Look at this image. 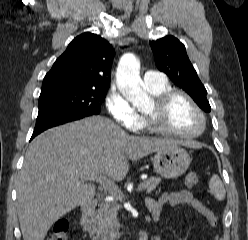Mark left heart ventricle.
I'll list each match as a JSON object with an SVG mask.
<instances>
[{
	"instance_id": "obj_1",
	"label": "left heart ventricle",
	"mask_w": 248,
	"mask_h": 240,
	"mask_svg": "<svg viewBox=\"0 0 248 240\" xmlns=\"http://www.w3.org/2000/svg\"><path fill=\"white\" fill-rule=\"evenodd\" d=\"M153 112V105L147 113ZM161 125L173 131L191 133L201 128L202 122L191 104L183 97H175L159 116Z\"/></svg>"
}]
</instances>
